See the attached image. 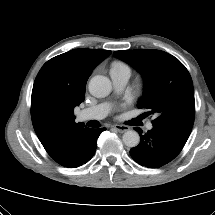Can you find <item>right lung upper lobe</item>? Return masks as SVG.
<instances>
[{
	"instance_id": "right-lung-upper-lobe-1",
	"label": "right lung upper lobe",
	"mask_w": 215,
	"mask_h": 215,
	"mask_svg": "<svg viewBox=\"0 0 215 215\" xmlns=\"http://www.w3.org/2000/svg\"><path fill=\"white\" fill-rule=\"evenodd\" d=\"M110 53L73 49L46 62L35 79L31 96L33 127L56 162L68 156L74 138L86 129L83 123H75L74 108L84 101L92 70Z\"/></svg>"
}]
</instances>
